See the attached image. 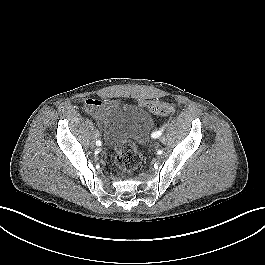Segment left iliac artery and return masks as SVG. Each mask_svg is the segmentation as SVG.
<instances>
[{
  "mask_svg": "<svg viewBox=\"0 0 265 265\" xmlns=\"http://www.w3.org/2000/svg\"><path fill=\"white\" fill-rule=\"evenodd\" d=\"M164 128V127H163ZM161 129V130H158V131H155V132H153L152 134H151V137L152 138H158L161 134H162V132H163V130L164 129Z\"/></svg>",
  "mask_w": 265,
  "mask_h": 265,
  "instance_id": "1",
  "label": "left iliac artery"
}]
</instances>
